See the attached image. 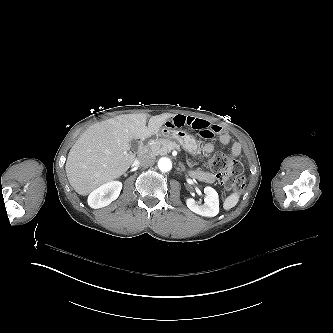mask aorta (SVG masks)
I'll use <instances>...</instances> for the list:
<instances>
[{"label": "aorta", "instance_id": "obj_1", "mask_svg": "<svg viewBox=\"0 0 333 333\" xmlns=\"http://www.w3.org/2000/svg\"><path fill=\"white\" fill-rule=\"evenodd\" d=\"M158 168L162 172H168L172 168V162L169 158L163 157L158 161Z\"/></svg>", "mask_w": 333, "mask_h": 333}]
</instances>
